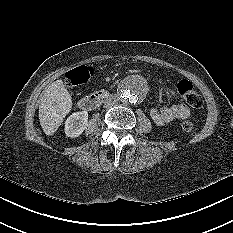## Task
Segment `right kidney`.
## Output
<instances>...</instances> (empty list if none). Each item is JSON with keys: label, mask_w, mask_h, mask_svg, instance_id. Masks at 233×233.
Instances as JSON below:
<instances>
[{"label": "right kidney", "mask_w": 233, "mask_h": 233, "mask_svg": "<svg viewBox=\"0 0 233 233\" xmlns=\"http://www.w3.org/2000/svg\"><path fill=\"white\" fill-rule=\"evenodd\" d=\"M88 112L80 111L71 114L65 121V134L68 137H78L87 128Z\"/></svg>", "instance_id": "1"}]
</instances>
